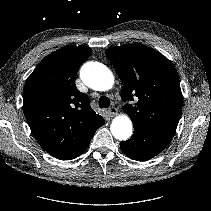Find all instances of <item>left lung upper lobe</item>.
Returning <instances> with one entry per match:
<instances>
[{
  "instance_id": "5c2ea615",
  "label": "left lung upper lobe",
  "mask_w": 211,
  "mask_h": 211,
  "mask_svg": "<svg viewBox=\"0 0 211 211\" xmlns=\"http://www.w3.org/2000/svg\"><path fill=\"white\" fill-rule=\"evenodd\" d=\"M123 88V110L134 127L175 132L182 110V93L177 71L161 53L138 45L106 50Z\"/></svg>"
}]
</instances>
